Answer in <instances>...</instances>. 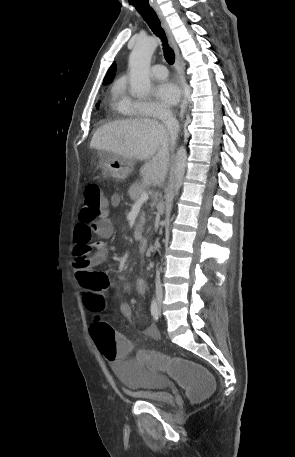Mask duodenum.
I'll return each instance as SVG.
<instances>
[{"label": "duodenum", "instance_id": "1", "mask_svg": "<svg viewBox=\"0 0 295 457\" xmlns=\"http://www.w3.org/2000/svg\"><path fill=\"white\" fill-rule=\"evenodd\" d=\"M147 248H148V239L141 238L139 240V250L144 253V252H146Z\"/></svg>", "mask_w": 295, "mask_h": 457}]
</instances>
